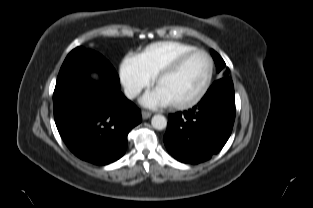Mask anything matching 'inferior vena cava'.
I'll list each match as a JSON object with an SVG mask.
<instances>
[{"label": "inferior vena cava", "instance_id": "inferior-vena-cava-1", "mask_svg": "<svg viewBox=\"0 0 313 208\" xmlns=\"http://www.w3.org/2000/svg\"><path fill=\"white\" fill-rule=\"evenodd\" d=\"M124 93L127 98L134 99L140 93V89L137 87H126Z\"/></svg>", "mask_w": 313, "mask_h": 208}]
</instances>
